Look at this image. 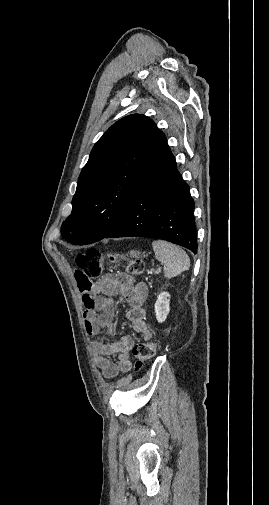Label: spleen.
Here are the masks:
<instances>
[{
  "instance_id": "3e777b00",
  "label": "spleen",
  "mask_w": 269,
  "mask_h": 505,
  "mask_svg": "<svg viewBox=\"0 0 269 505\" xmlns=\"http://www.w3.org/2000/svg\"><path fill=\"white\" fill-rule=\"evenodd\" d=\"M152 247L156 259L164 265L166 278H173L189 269L190 258L179 246L164 240H154Z\"/></svg>"
}]
</instances>
